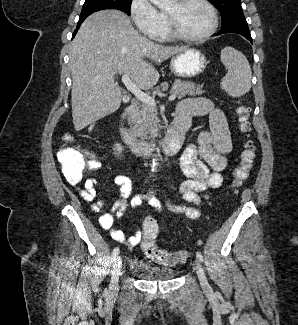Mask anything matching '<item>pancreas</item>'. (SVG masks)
<instances>
[{
	"label": "pancreas",
	"mask_w": 298,
	"mask_h": 325,
	"mask_svg": "<svg viewBox=\"0 0 298 325\" xmlns=\"http://www.w3.org/2000/svg\"><path fill=\"white\" fill-rule=\"evenodd\" d=\"M172 86H177L175 92H177L178 98L183 96H201L203 92H206L207 88H203L204 84H197V82H191V80H181V78H175ZM159 90H165L164 82H161ZM160 118H158L157 106H151V104H139L135 112L132 114V128L138 136H152V134H158L160 128Z\"/></svg>",
	"instance_id": "1"
}]
</instances>
